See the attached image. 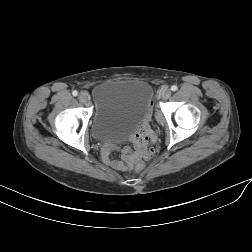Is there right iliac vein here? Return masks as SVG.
Returning <instances> with one entry per match:
<instances>
[{"instance_id":"obj_1","label":"right iliac vein","mask_w":252,"mask_h":252,"mask_svg":"<svg viewBox=\"0 0 252 252\" xmlns=\"http://www.w3.org/2000/svg\"><path fill=\"white\" fill-rule=\"evenodd\" d=\"M78 98H79L80 102H82L86 105L89 103V95L85 92L80 93Z\"/></svg>"}]
</instances>
